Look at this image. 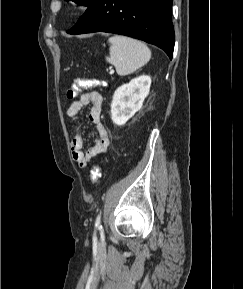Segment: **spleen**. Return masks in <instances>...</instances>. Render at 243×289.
I'll return each instance as SVG.
<instances>
[{"mask_svg":"<svg viewBox=\"0 0 243 289\" xmlns=\"http://www.w3.org/2000/svg\"><path fill=\"white\" fill-rule=\"evenodd\" d=\"M110 43V55L106 61L114 65L120 76L134 73L148 63L151 51L147 45L139 40L114 35L108 39Z\"/></svg>","mask_w":243,"mask_h":289,"instance_id":"3e777b00","label":"spleen"}]
</instances>
